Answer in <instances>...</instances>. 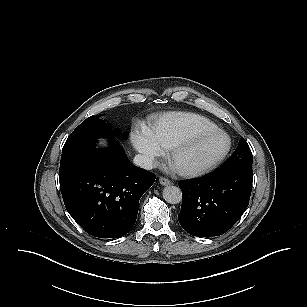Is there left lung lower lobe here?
I'll return each instance as SVG.
<instances>
[{"mask_svg": "<svg viewBox=\"0 0 307 307\" xmlns=\"http://www.w3.org/2000/svg\"><path fill=\"white\" fill-rule=\"evenodd\" d=\"M252 181L251 169H218L202 178L180 182V225L193 236L224 234L247 209Z\"/></svg>", "mask_w": 307, "mask_h": 307, "instance_id": "1", "label": "left lung lower lobe"}]
</instances>
